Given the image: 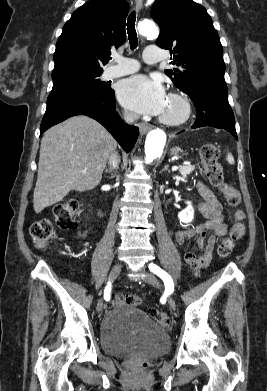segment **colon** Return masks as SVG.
Masks as SVG:
<instances>
[{"label":"colon","instance_id":"obj_1","mask_svg":"<svg viewBox=\"0 0 267 391\" xmlns=\"http://www.w3.org/2000/svg\"><path fill=\"white\" fill-rule=\"evenodd\" d=\"M200 157L204 166L205 175L209 183L218 188L226 199L227 204L235 209L234 223L228 234L218 246V255L221 258L227 257L233 250L235 242L240 240L246 232L244 223L245 214L237 209L241 202L239 192L224 179L223 169L219 163L220 151L218 146L212 142H205L200 149ZM79 211V202L75 199L57 204L53 209L54 220L41 219L34 222L30 227V235L37 248H45L55 238V228L71 230L75 227V218ZM113 304H129L139 306L142 298L136 294H117L113 299ZM150 315L156 322L164 328L170 326L169 316L158 310H150Z\"/></svg>","mask_w":267,"mask_h":391}]
</instances>
